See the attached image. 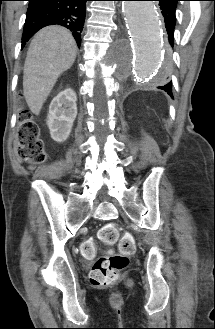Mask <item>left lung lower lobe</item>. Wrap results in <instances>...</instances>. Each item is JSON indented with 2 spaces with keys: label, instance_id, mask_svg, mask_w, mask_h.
I'll use <instances>...</instances> for the list:
<instances>
[{
  "label": "left lung lower lobe",
  "instance_id": "0a47b994",
  "mask_svg": "<svg viewBox=\"0 0 215 329\" xmlns=\"http://www.w3.org/2000/svg\"><path fill=\"white\" fill-rule=\"evenodd\" d=\"M159 1L160 9L162 10V15L164 17L165 21V27L167 30L168 34V52L169 54L171 53V47L174 46V28H175V23H176V16H175V11H176V5L177 2L180 0H156ZM161 90H164L167 92L171 97L172 95V83H166L162 84L161 86L158 87Z\"/></svg>",
  "mask_w": 215,
  "mask_h": 329
}]
</instances>
